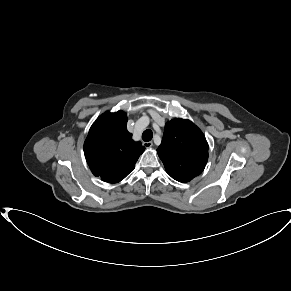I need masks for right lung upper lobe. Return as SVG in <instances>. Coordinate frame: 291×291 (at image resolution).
Wrapping results in <instances>:
<instances>
[{"mask_svg": "<svg viewBox=\"0 0 291 291\" xmlns=\"http://www.w3.org/2000/svg\"><path fill=\"white\" fill-rule=\"evenodd\" d=\"M145 147L134 142L127 131V115L123 111L102 114L91 126L84 143L87 163L102 181L117 183L135 168Z\"/></svg>", "mask_w": 291, "mask_h": 291, "instance_id": "right-lung-upper-lobe-1", "label": "right lung upper lobe"}]
</instances>
